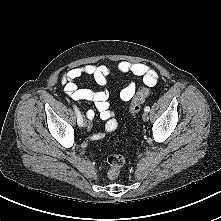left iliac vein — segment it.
<instances>
[{
    "label": "left iliac vein",
    "instance_id": "4c4485c4",
    "mask_svg": "<svg viewBox=\"0 0 221 221\" xmlns=\"http://www.w3.org/2000/svg\"><path fill=\"white\" fill-rule=\"evenodd\" d=\"M142 119H143L144 121H148V119H149V114H148L147 112H144L143 115H142Z\"/></svg>",
    "mask_w": 221,
    "mask_h": 221
}]
</instances>
